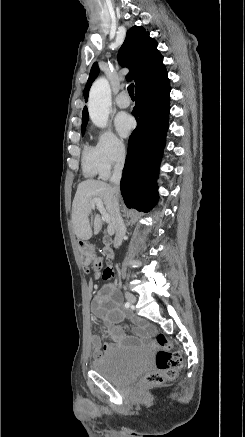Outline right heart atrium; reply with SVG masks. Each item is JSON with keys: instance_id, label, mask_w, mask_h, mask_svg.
<instances>
[{"instance_id": "obj_1", "label": "right heart atrium", "mask_w": 245, "mask_h": 437, "mask_svg": "<svg viewBox=\"0 0 245 437\" xmlns=\"http://www.w3.org/2000/svg\"><path fill=\"white\" fill-rule=\"evenodd\" d=\"M94 153L99 174L102 177H107L114 168L119 167L124 162L126 145L111 130H101L97 132Z\"/></svg>"}]
</instances>
